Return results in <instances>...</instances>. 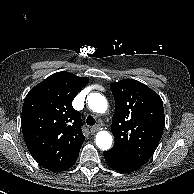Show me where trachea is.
Masks as SVG:
<instances>
[{
    "mask_svg": "<svg viewBox=\"0 0 194 194\" xmlns=\"http://www.w3.org/2000/svg\"><path fill=\"white\" fill-rule=\"evenodd\" d=\"M86 123H87V125H89V126L95 125V123H96L95 118H94L93 116L89 115V116L87 117V119H86Z\"/></svg>",
    "mask_w": 194,
    "mask_h": 194,
    "instance_id": "1",
    "label": "trachea"
}]
</instances>
